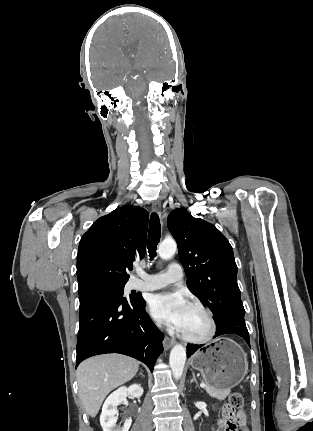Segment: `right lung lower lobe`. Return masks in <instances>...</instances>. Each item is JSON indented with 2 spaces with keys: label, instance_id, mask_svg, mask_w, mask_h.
Instances as JSON below:
<instances>
[{
  "label": "right lung lower lobe",
  "instance_id": "1",
  "mask_svg": "<svg viewBox=\"0 0 313 431\" xmlns=\"http://www.w3.org/2000/svg\"><path fill=\"white\" fill-rule=\"evenodd\" d=\"M79 300L76 367L94 355L120 353L153 370L164 334L146 313L141 295L126 299L116 291L95 289L79 294Z\"/></svg>",
  "mask_w": 313,
  "mask_h": 431
}]
</instances>
